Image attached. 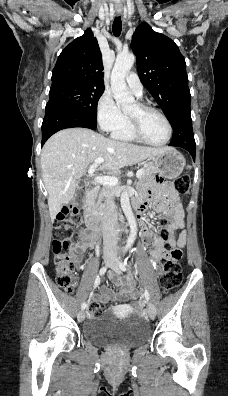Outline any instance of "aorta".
<instances>
[{"mask_svg": "<svg viewBox=\"0 0 228 396\" xmlns=\"http://www.w3.org/2000/svg\"><path fill=\"white\" fill-rule=\"evenodd\" d=\"M135 62V56L132 53L120 54L117 56L114 67L111 73V90L114 99L118 106L122 108L123 111L129 110L135 103L134 96L128 90L125 82L126 73L132 68ZM121 207L128 220L130 226V234L126 242V248H130L137 234V223L134 214L131 209L129 194L127 189H124L121 198Z\"/></svg>", "mask_w": 228, "mask_h": 396, "instance_id": "762f6f07", "label": "aorta"}]
</instances>
